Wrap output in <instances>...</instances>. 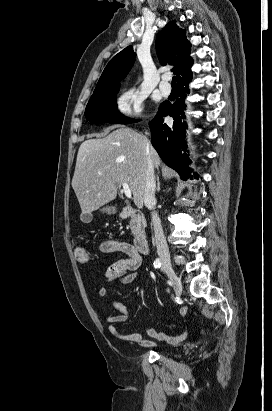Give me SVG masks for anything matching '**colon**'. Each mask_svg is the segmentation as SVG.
Returning <instances> with one entry per match:
<instances>
[{
    "instance_id": "colon-1",
    "label": "colon",
    "mask_w": 272,
    "mask_h": 411,
    "mask_svg": "<svg viewBox=\"0 0 272 411\" xmlns=\"http://www.w3.org/2000/svg\"><path fill=\"white\" fill-rule=\"evenodd\" d=\"M75 258L80 263H87L89 262V255L87 251L83 247H76L75 248Z\"/></svg>"
}]
</instances>
